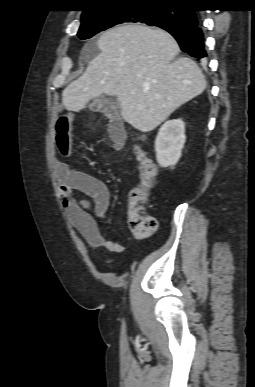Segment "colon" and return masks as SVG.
Segmentation results:
<instances>
[{"label":"colon","instance_id":"obj_1","mask_svg":"<svg viewBox=\"0 0 255 387\" xmlns=\"http://www.w3.org/2000/svg\"><path fill=\"white\" fill-rule=\"evenodd\" d=\"M138 162L140 183L128 195L127 217L132 232L141 238L148 237L157 230V221L146 213L150 191L156 184L157 168L146 152L138 145L133 146Z\"/></svg>","mask_w":255,"mask_h":387}]
</instances>
